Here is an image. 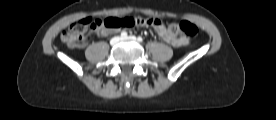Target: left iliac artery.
<instances>
[{
	"label": "left iliac artery",
	"mask_w": 276,
	"mask_h": 120,
	"mask_svg": "<svg viewBox=\"0 0 276 120\" xmlns=\"http://www.w3.org/2000/svg\"><path fill=\"white\" fill-rule=\"evenodd\" d=\"M137 40H138L139 42H142V41H143L142 37H140V36L137 38Z\"/></svg>",
	"instance_id": "44dca946"
}]
</instances>
